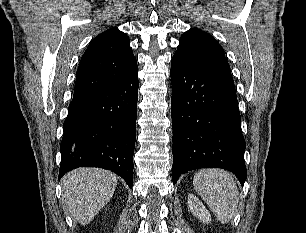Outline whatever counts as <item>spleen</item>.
I'll list each match as a JSON object with an SVG mask.
<instances>
[{"mask_svg": "<svg viewBox=\"0 0 306 233\" xmlns=\"http://www.w3.org/2000/svg\"><path fill=\"white\" fill-rule=\"evenodd\" d=\"M193 185L221 223L226 224L233 218L239 192L229 172L216 168L201 169L195 174Z\"/></svg>", "mask_w": 306, "mask_h": 233, "instance_id": "spleen-1", "label": "spleen"}]
</instances>
